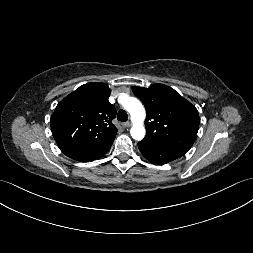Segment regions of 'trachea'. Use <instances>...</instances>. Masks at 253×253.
Wrapping results in <instances>:
<instances>
[{
    "label": "trachea",
    "mask_w": 253,
    "mask_h": 253,
    "mask_svg": "<svg viewBox=\"0 0 253 253\" xmlns=\"http://www.w3.org/2000/svg\"><path fill=\"white\" fill-rule=\"evenodd\" d=\"M117 119L121 122L128 120V114L124 110H120L117 114Z\"/></svg>",
    "instance_id": "trachea-1"
}]
</instances>
